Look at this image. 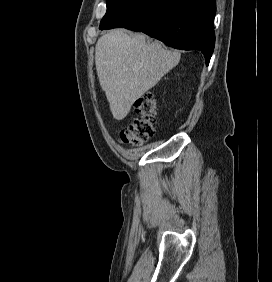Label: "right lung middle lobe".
I'll return each instance as SVG.
<instances>
[{
    "label": "right lung middle lobe",
    "instance_id": "right-lung-middle-lobe-1",
    "mask_svg": "<svg viewBox=\"0 0 272 282\" xmlns=\"http://www.w3.org/2000/svg\"><path fill=\"white\" fill-rule=\"evenodd\" d=\"M137 0H107V12L100 22V29L118 17Z\"/></svg>",
    "mask_w": 272,
    "mask_h": 282
}]
</instances>
